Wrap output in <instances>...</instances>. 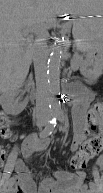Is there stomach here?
<instances>
[{
	"label": "stomach",
	"mask_w": 103,
	"mask_h": 193,
	"mask_svg": "<svg viewBox=\"0 0 103 193\" xmlns=\"http://www.w3.org/2000/svg\"><path fill=\"white\" fill-rule=\"evenodd\" d=\"M74 4L72 14L78 17H85L76 31L79 33L78 47L86 52L87 57H91L93 52L92 40L89 37L93 21H98L102 15L103 0H80ZM100 17V18H99Z\"/></svg>",
	"instance_id": "stomach-1"
}]
</instances>
